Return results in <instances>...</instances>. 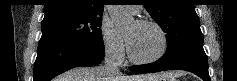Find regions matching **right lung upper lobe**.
Instances as JSON below:
<instances>
[{
    "mask_svg": "<svg viewBox=\"0 0 237 81\" xmlns=\"http://www.w3.org/2000/svg\"><path fill=\"white\" fill-rule=\"evenodd\" d=\"M105 0H47L46 18L61 15L102 16Z\"/></svg>",
    "mask_w": 237,
    "mask_h": 81,
    "instance_id": "obj_1",
    "label": "right lung upper lobe"
}]
</instances>
